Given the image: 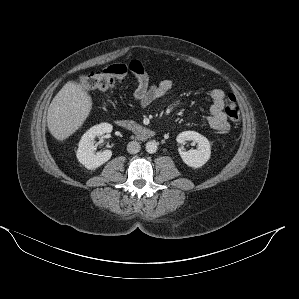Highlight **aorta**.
<instances>
[{
	"label": "aorta",
	"mask_w": 299,
	"mask_h": 299,
	"mask_svg": "<svg viewBox=\"0 0 299 299\" xmlns=\"http://www.w3.org/2000/svg\"><path fill=\"white\" fill-rule=\"evenodd\" d=\"M146 151L150 154L155 153L158 149V145L155 141H149L146 143Z\"/></svg>",
	"instance_id": "1"
}]
</instances>
